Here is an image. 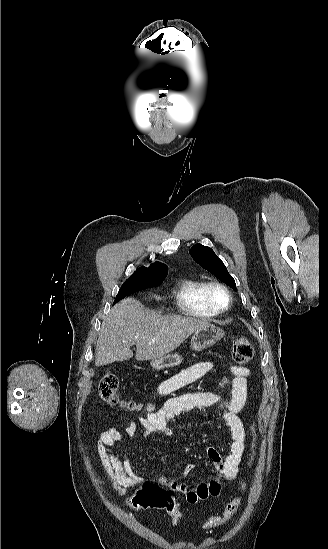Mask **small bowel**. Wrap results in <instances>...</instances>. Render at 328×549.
Masks as SVG:
<instances>
[{"instance_id": "small-bowel-1", "label": "small bowel", "mask_w": 328, "mask_h": 549, "mask_svg": "<svg viewBox=\"0 0 328 549\" xmlns=\"http://www.w3.org/2000/svg\"><path fill=\"white\" fill-rule=\"evenodd\" d=\"M214 367L213 361L193 362L177 375L162 382L157 387V393L160 396L171 394L200 379ZM230 369L234 380L229 398H222L211 392L185 393L167 399L156 412H147L139 416L141 431L132 420H126V432L132 438L150 435L171 437L174 435L172 422L177 416L188 412L217 409L231 436L229 453L223 456L221 446H207L206 453L215 470L213 479L194 487L177 482L172 484V489L181 494L189 504H196L210 497H219L224 483L234 480L239 472L245 451L246 432L238 414L246 404L250 370L236 365L231 366ZM121 443L122 436L112 425L101 433L96 449L112 488L117 494L125 495L129 489L142 486L147 478L135 468L124 452L119 451ZM192 468L193 464L187 463L184 473L188 474Z\"/></svg>"}]
</instances>
